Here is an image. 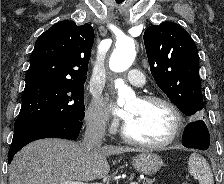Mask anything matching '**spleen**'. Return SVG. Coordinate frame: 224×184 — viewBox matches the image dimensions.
<instances>
[{"label":"spleen","instance_id":"1","mask_svg":"<svg viewBox=\"0 0 224 184\" xmlns=\"http://www.w3.org/2000/svg\"><path fill=\"white\" fill-rule=\"evenodd\" d=\"M189 173L200 184H213V174L208 162L200 155L193 153L188 161Z\"/></svg>","mask_w":224,"mask_h":184}]
</instances>
